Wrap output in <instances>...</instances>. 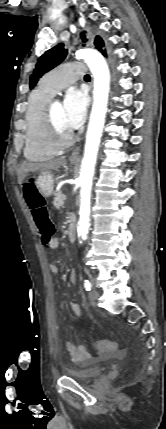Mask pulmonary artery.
<instances>
[{
	"mask_svg": "<svg viewBox=\"0 0 166 429\" xmlns=\"http://www.w3.org/2000/svg\"><path fill=\"white\" fill-rule=\"evenodd\" d=\"M86 65L83 62L66 63L47 74L40 82V87L52 94L67 87L85 74Z\"/></svg>",
	"mask_w": 166,
	"mask_h": 429,
	"instance_id": "pulmonary-artery-1",
	"label": "pulmonary artery"
}]
</instances>
